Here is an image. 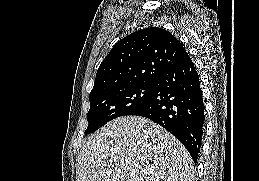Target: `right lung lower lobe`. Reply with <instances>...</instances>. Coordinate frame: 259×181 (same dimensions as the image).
<instances>
[{
  "label": "right lung lower lobe",
  "instance_id": "98d812e1",
  "mask_svg": "<svg viewBox=\"0 0 259 181\" xmlns=\"http://www.w3.org/2000/svg\"><path fill=\"white\" fill-rule=\"evenodd\" d=\"M153 84L148 100L130 115L149 118L171 132L196 162L203 134L204 104L194 63L188 56Z\"/></svg>",
  "mask_w": 259,
  "mask_h": 181
}]
</instances>
